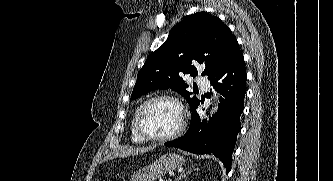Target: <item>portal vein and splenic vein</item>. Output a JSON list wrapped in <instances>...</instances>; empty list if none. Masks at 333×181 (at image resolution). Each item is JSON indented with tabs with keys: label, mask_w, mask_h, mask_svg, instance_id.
Wrapping results in <instances>:
<instances>
[{
	"label": "portal vein and splenic vein",
	"mask_w": 333,
	"mask_h": 181,
	"mask_svg": "<svg viewBox=\"0 0 333 181\" xmlns=\"http://www.w3.org/2000/svg\"><path fill=\"white\" fill-rule=\"evenodd\" d=\"M159 181H164L163 179H160Z\"/></svg>",
	"instance_id": "portal-vein-and-splenic-vein-1"
}]
</instances>
